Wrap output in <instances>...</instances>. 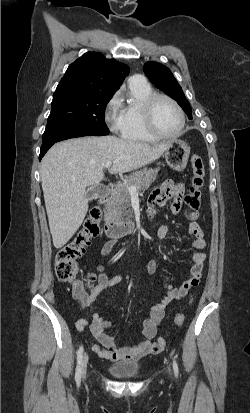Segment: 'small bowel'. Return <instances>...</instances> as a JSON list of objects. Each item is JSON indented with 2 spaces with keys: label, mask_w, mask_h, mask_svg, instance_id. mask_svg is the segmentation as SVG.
<instances>
[{
  "label": "small bowel",
  "mask_w": 250,
  "mask_h": 413,
  "mask_svg": "<svg viewBox=\"0 0 250 413\" xmlns=\"http://www.w3.org/2000/svg\"><path fill=\"white\" fill-rule=\"evenodd\" d=\"M186 191L182 183H176L172 180H166L160 186L155 187L149 198V216L154 213V207L156 205H163L169 199L172 200L171 212L175 213L180 207V203L185 196ZM184 215L190 221L187 233L193 236V240L190 242V246L198 252H195L190 261L192 266L190 268V276L179 286L174 287L169 282L165 283L166 294L162 299L151 306L148 310V316L143 321L142 335L144 340L133 346H117L114 338L107 334L105 330L111 327V322L102 318L97 312L94 306V300L104 290L120 283L122 277L120 275L108 278L104 273V267L98 266L97 284L93 288L91 294L86 298L84 306L88 308L92 313V322L89 324L88 320L81 318L76 322V329L79 332H84L85 328L89 325L91 334L96 340V343L92 345V350L97 355L104 359L110 360H136L147 355L157 354L161 350L157 349L153 339L157 334V329L161 323L166 307L173 301L179 300L186 296L188 291L199 284L206 254L203 250L206 248L207 243L205 240V234L197 222L198 214L196 212L185 210ZM170 226L162 225L158 228L156 236L158 240H162L166 237L170 231ZM115 242L110 241L105 244L102 255L108 256L114 247ZM158 268V261L152 259L147 265V272L154 274Z\"/></svg>",
  "instance_id": "1"
}]
</instances>
